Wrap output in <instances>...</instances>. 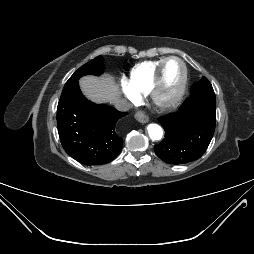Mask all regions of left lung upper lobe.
I'll return each mask as SVG.
<instances>
[{
    "label": "left lung upper lobe",
    "mask_w": 254,
    "mask_h": 254,
    "mask_svg": "<svg viewBox=\"0 0 254 254\" xmlns=\"http://www.w3.org/2000/svg\"><path fill=\"white\" fill-rule=\"evenodd\" d=\"M190 96L215 97V93L209 80L206 77H203L191 87Z\"/></svg>",
    "instance_id": "1"
}]
</instances>
